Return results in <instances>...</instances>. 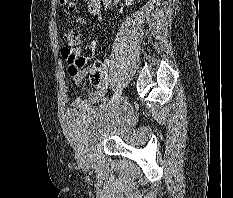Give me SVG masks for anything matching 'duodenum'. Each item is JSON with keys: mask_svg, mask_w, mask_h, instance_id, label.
Returning a JSON list of instances; mask_svg holds the SVG:
<instances>
[{"mask_svg": "<svg viewBox=\"0 0 233 198\" xmlns=\"http://www.w3.org/2000/svg\"><path fill=\"white\" fill-rule=\"evenodd\" d=\"M88 11L92 15H98L101 11V0H90Z\"/></svg>", "mask_w": 233, "mask_h": 198, "instance_id": "duodenum-1", "label": "duodenum"}]
</instances>
